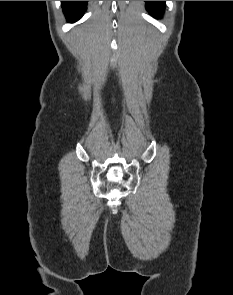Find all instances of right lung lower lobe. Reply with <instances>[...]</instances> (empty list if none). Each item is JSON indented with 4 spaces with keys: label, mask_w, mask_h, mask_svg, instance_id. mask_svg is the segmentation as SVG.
Masks as SVG:
<instances>
[{
    "label": "right lung lower lobe",
    "mask_w": 233,
    "mask_h": 295,
    "mask_svg": "<svg viewBox=\"0 0 233 295\" xmlns=\"http://www.w3.org/2000/svg\"><path fill=\"white\" fill-rule=\"evenodd\" d=\"M61 5L68 22H75L83 16L87 1H61Z\"/></svg>",
    "instance_id": "obj_1"
}]
</instances>
